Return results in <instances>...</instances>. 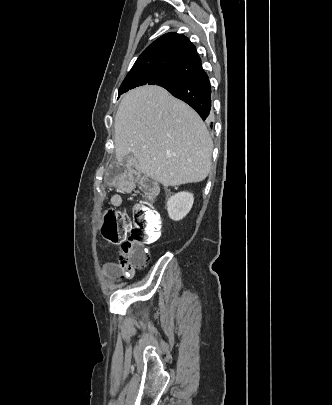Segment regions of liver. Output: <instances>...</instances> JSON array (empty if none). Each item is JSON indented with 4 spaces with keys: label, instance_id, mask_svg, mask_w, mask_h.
Here are the masks:
<instances>
[{
    "label": "liver",
    "instance_id": "6515ba94",
    "mask_svg": "<svg viewBox=\"0 0 332 405\" xmlns=\"http://www.w3.org/2000/svg\"><path fill=\"white\" fill-rule=\"evenodd\" d=\"M114 127L118 162L132 153L139 170L165 187L197 183L210 172L213 143L203 120L162 87L125 93Z\"/></svg>",
    "mask_w": 332,
    "mask_h": 405
}]
</instances>
